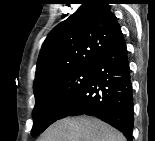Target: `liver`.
Listing matches in <instances>:
<instances>
[{"instance_id": "liver-1", "label": "liver", "mask_w": 155, "mask_h": 141, "mask_svg": "<svg viewBox=\"0 0 155 141\" xmlns=\"http://www.w3.org/2000/svg\"><path fill=\"white\" fill-rule=\"evenodd\" d=\"M39 141H126L115 128L95 117H67L52 124Z\"/></svg>"}]
</instances>
